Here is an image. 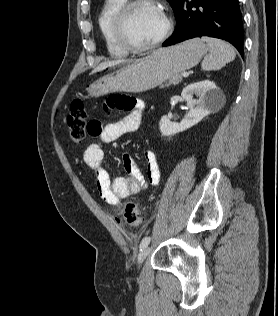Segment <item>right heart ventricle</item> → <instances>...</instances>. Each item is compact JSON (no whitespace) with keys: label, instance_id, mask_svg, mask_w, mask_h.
<instances>
[{"label":"right heart ventricle","instance_id":"1","mask_svg":"<svg viewBox=\"0 0 278 316\" xmlns=\"http://www.w3.org/2000/svg\"><path fill=\"white\" fill-rule=\"evenodd\" d=\"M127 0H105L99 16L98 27L108 53L113 57H122L127 50L118 42L114 31V19Z\"/></svg>","mask_w":278,"mask_h":316}]
</instances>
